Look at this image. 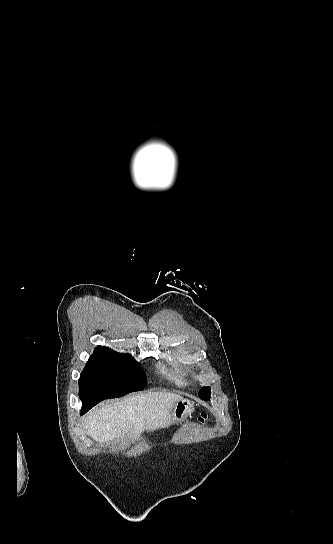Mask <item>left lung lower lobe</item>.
I'll list each match as a JSON object with an SVG mask.
<instances>
[{"instance_id":"obj_1","label":"left lung lower lobe","mask_w":333,"mask_h":544,"mask_svg":"<svg viewBox=\"0 0 333 544\" xmlns=\"http://www.w3.org/2000/svg\"><path fill=\"white\" fill-rule=\"evenodd\" d=\"M209 398H210V397H209V396H207V397H204V398H201V399H204V400H209Z\"/></svg>"}]
</instances>
